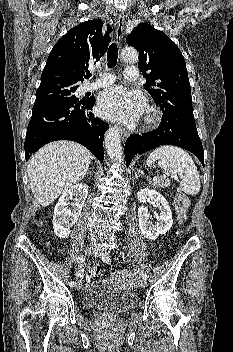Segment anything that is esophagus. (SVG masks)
Masks as SVG:
<instances>
[{
  "instance_id": "1",
  "label": "esophagus",
  "mask_w": 233,
  "mask_h": 352,
  "mask_svg": "<svg viewBox=\"0 0 233 352\" xmlns=\"http://www.w3.org/2000/svg\"><path fill=\"white\" fill-rule=\"evenodd\" d=\"M124 23H125V16L124 14H119L117 20H116V43L117 45H120L121 39H122V32L124 28ZM129 136V132L125 129L122 130V139L126 140Z\"/></svg>"
}]
</instances>
